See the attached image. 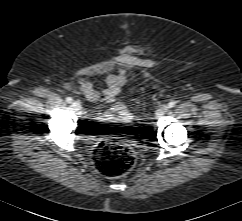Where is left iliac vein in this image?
<instances>
[{
	"label": "left iliac vein",
	"mask_w": 242,
	"mask_h": 221,
	"mask_svg": "<svg viewBox=\"0 0 242 221\" xmlns=\"http://www.w3.org/2000/svg\"><path fill=\"white\" fill-rule=\"evenodd\" d=\"M167 112V106L163 105L161 107H159L156 111V117H162L165 113Z\"/></svg>",
	"instance_id": "1"
}]
</instances>
